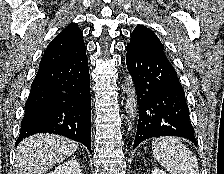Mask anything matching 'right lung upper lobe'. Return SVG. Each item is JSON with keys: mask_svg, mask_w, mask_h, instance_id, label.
<instances>
[{"mask_svg": "<svg viewBox=\"0 0 224 174\" xmlns=\"http://www.w3.org/2000/svg\"><path fill=\"white\" fill-rule=\"evenodd\" d=\"M86 54V47L80 28L75 23L69 24L48 45L40 66L72 59Z\"/></svg>", "mask_w": 224, "mask_h": 174, "instance_id": "1", "label": "right lung upper lobe"}]
</instances>
